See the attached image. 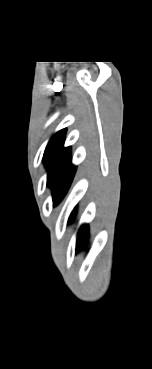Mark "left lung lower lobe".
Instances as JSON below:
<instances>
[{
  "label": "left lung lower lobe",
  "mask_w": 152,
  "mask_h": 369,
  "mask_svg": "<svg viewBox=\"0 0 152 369\" xmlns=\"http://www.w3.org/2000/svg\"><path fill=\"white\" fill-rule=\"evenodd\" d=\"M75 211L74 210L71 214L70 220H72L74 218L75 215ZM88 238V226L87 225H83L79 232H78V236H77V246H76V251L82 249V247L84 246V244L86 243Z\"/></svg>",
  "instance_id": "0a47b994"
}]
</instances>
